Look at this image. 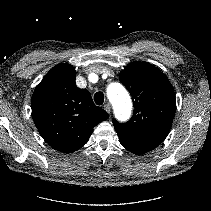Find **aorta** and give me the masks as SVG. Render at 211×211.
I'll use <instances>...</instances> for the list:
<instances>
[{"mask_svg": "<svg viewBox=\"0 0 211 211\" xmlns=\"http://www.w3.org/2000/svg\"><path fill=\"white\" fill-rule=\"evenodd\" d=\"M108 94L116 103L117 107H122L124 116L128 117L131 111V100L126 90L118 83L109 86Z\"/></svg>", "mask_w": 211, "mask_h": 211, "instance_id": "aorta-1", "label": "aorta"}]
</instances>
